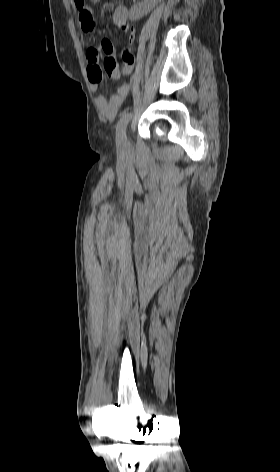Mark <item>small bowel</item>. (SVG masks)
<instances>
[{
    "label": "small bowel",
    "mask_w": 280,
    "mask_h": 472,
    "mask_svg": "<svg viewBox=\"0 0 280 472\" xmlns=\"http://www.w3.org/2000/svg\"><path fill=\"white\" fill-rule=\"evenodd\" d=\"M98 3L101 0H91ZM75 7L79 12V23L81 29L86 33H91L95 27V19L92 9L86 4L85 0H73ZM129 10L125 5H119L113 12V22L123 32L128 34L129 43H134L136 34L135 30L128 23ZM100 54L104 55L105 59L116 61V52L112 42L108 39H103L99 47H90L86 52V59L88 61L87 73L91 84V89L96 91L99 83L102 80L103 71L99 63ZM121 75H128L132 71V65L125 64L119 69ZM129 93V85L122 83L111 94L109 98L103 95L96 97L95 102L101 113L109 120L116 117L120 107Z\"/></svg>",
    "instance_id": "c3829d8e"
}]
</instances>
